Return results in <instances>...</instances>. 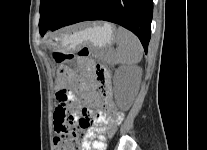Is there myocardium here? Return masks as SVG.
<instances>
[{
	"label": "myocardium",
	"mask_w": 207,
	"mask_h": 150,
	"mask_svg": "<svg viewBox=\"0 0 207 150\" xmlns=\"http://www.w3.org/2000/svg\"><path fill=\"white\" fill-rule=\"evenodd\" d=\"M58 3H65L67 0H57Z\"/></svg>",
	"instance_id": "1"
}]
</instances>
